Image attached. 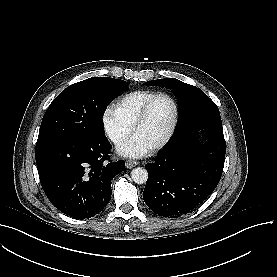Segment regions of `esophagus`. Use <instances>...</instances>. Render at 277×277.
Instances as JSON below:
<instances>
[{
	"label": "esophagus",
	"instance_id": "obj_1",
	"mask_svg": "<svg viewBox=\"0 0 277 277\" xmlns=\"http://www.w3.org/2000/svg\"><path fill=\"white\" fill-rule=\"evenodd\" d=\"M125 165H126V168L131 169V168L139 165V162L133 161V160H128V161H126Z\"/></svg>",
	"mask_w": 277,
	"mask_h": 277
}]
</instances>
